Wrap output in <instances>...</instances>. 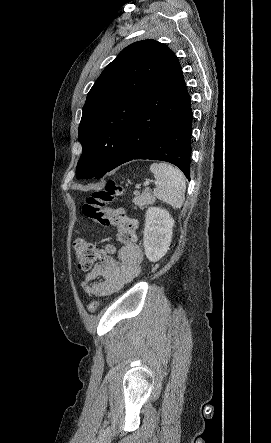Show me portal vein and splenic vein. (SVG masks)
<instances>
[{"label":"portal vein and splenic vein","mask_w":271,"mask_h":443,"mask_svg":"<svg viewBox=\"0 0 271 443\" xmlns=\"http://www.w3.org/2000/svg\"><path fill=\"white\" fill-rule=\"evenodd\" d=\"M150 182H144V186H149ZM157 184V182H155Z\"/></svg>","instance_id":"18ae733b"}]
</instances>
